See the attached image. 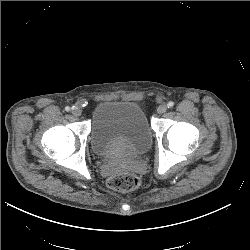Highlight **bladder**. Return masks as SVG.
Segmentation results:
<instances>
[{"label": "bladder", "mask_w": 250, "mask_h": 250, "mask_svg": "<svg viewBox=\"0 0 250 250\" xmlns=\"http://www.w3.org/2000/svg\"><path fill=\"white\" fill-rule=\"evenodd\" d=\"M89 140L97 156L129 157L149 150L153 135L146 114L138 104L106 100L92 111Z\"/></svg>", "instance_id": "31cf9c89"}]
</instances>
